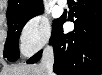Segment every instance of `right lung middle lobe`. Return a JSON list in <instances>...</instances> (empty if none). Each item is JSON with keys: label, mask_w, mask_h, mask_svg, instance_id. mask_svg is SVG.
Returning a JSON list of instances; mask_svg holds the SVG:
<instances>
[{"label": "right lung middle lobe", "mask_w": 102, "mask_h": 75, "mask_svg": "<svg viewBox=\"0 0 102 75\" xmlns=\"http://www.w3.org/2000/svg\"><path fill=\"white\" fill-rule=\"evenodd\" d=\"M42 12L43 7L7 16L8 33L3 55L9 61L14 62L19 58L18 40L20 32L26 22L32 17L41 14ZM55 22L56 20H54V23Z\"/></svg>", "instance_id": "1"}]
</instances>
